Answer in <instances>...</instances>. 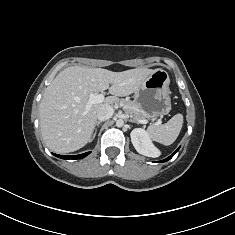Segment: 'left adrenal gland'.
<instances>
[{"label":"left adrenal gland","instance_id":"a2214340","mask_svg":"<svg viewBox=\"0 0 235 235\" xmlns=\"http://www.w3.org/2000/svg\"><path fill=\"white\" fill-rule=\"evenodd\" d=\"M129 122H134V123H135L136 121H135V120H133V119H129Z\"/></svg>","mask_w":235,"mask_h":235}]
</instances>
